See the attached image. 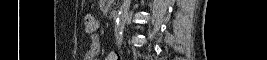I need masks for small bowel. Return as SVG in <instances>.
<instances>
[{
    "label": "small bowel",
    "instance_id": "c3829d8e",
    "mask_svg": "<svg viewBox=\"0 0 267 60\" xmlns=\"http://www.w3.org/2000/svg\"><path fill=\"white\" fill-rule=\"evenodd\" d=\"M101 40L98 34L94 33L90 35L89 48L86 51V60H95L97 56L101 53ZM105 60H120V55L118 52H110Z\"/></svg>",
    "mask_w": 267,
    "mask_h": 60
}]
</instances>
